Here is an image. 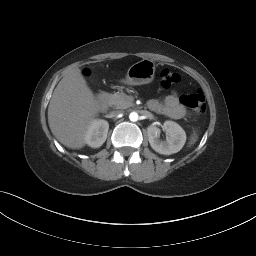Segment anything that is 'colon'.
<instances>
[{
  "instance_id": "1",
  "label": "colon",
  "mask_w": 256,
  "mask_h": 256,
  "mask_svg": "<svg viewBox=\"0 0 256 256\" xmlns=\"http://www.w3.org/2000/svg\"><path fill=\"white\" fill-rule=\"evenodd\" d=\"M160 85L165 88H171L180 82V76L175 71L169 68H163L159 73ZM180 102L183 106L194 110L197 113H203L205 111V97L201 91L194 93H184L180 96Z\"/></svg>"
}]
</instances>
